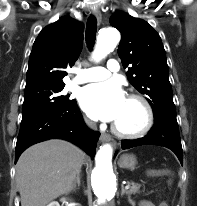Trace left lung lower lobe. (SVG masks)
Instances as JSON below:
<instances>
[{
    "instance_id": "obj_1",
    "label": "left lung lower lobe",
    "mask_w": 197,
    "mask_h": 206,
    "mask_svg": "<svg viewBox=\"0 0 197 206\" xmlns=\"http://www.w3.org/2000/svg\"><path fill=\"white\" fill-rule=\"evenodd\" d=\"M141 145H159L169 148L183 164V153L177 121L171 119L154 120L153 127L145 137L134 140H121L122 149Z\"/></svg>"
}]
</instances>
